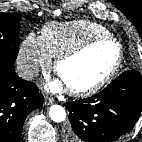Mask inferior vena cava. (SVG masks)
<instances>
[{
	"label": "inferior vena cava",
	"instance_id": "1",
	"mask_svg": "<svg viewBox=\"0 0 142 142\" xmlns=\"http://www.w3.org/2000/svg\"><path fill=\"white\" fill-rule=\"evenodd\" d=\"M17 72L22 79L31 80L38 75L39 68L33 65H20Z\"/></svg>",
	"mask_w": 142,
	"mask_h": 142
}]
</instances>
